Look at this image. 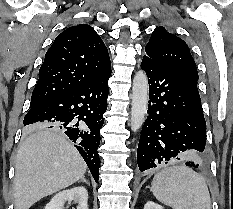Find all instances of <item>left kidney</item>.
I'll use <instances>...</instances> for the list:
<instances>
[{"label": "left kidney", "mask_w": 233, "mask_h": 209, "mask_svg": "<svg viewBox=\"0 0 233 209\" xmlns=\"http://www.w3.org/2000/svg\"><path fill=\"white\" fill-rule=\"evenodd\" d=\"M144 209H164V208L159 204L149 201L145 204Z\"/></svg>", "instance_id": "1"}]
</instances>
